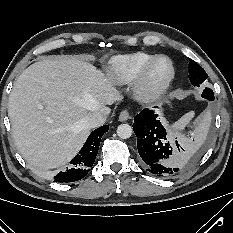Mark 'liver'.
Here are the masks:
<instances>
[{
    "mask_svg": "<svg viewBox=\"0 0 233 233\" xmlns=\"http://www.w3.org/2000/svg\"><path fill=\"white\" fill-rule=\"evenodd\" d=\"M113 85L111 76L76 57L45 59L26 68L8 103L23 158L42 170L69 162L90 133L85 118L121 99Z\"/></svg>",
    "mask_w": 233,
    "mask_h": 233,
    "instance_id": "1",
    "label": "liver"
}]
</instances>
